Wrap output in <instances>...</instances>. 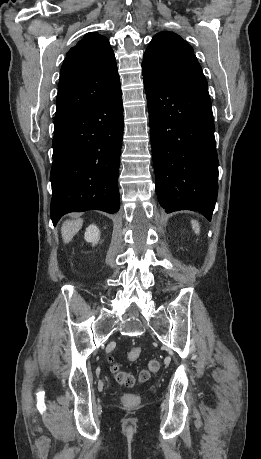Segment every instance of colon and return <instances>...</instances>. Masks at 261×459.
I'll return each mask as SVG.
<instances>
[{"mask_svg": "<svg viewBox=\"0 0 261 459\" xmlns=\"http://www.w3.org/2000/svg\"><path fill=\"white\" fill-rule=\"evenodd\" d=\"M141 355V349L139 347H134L129 350L127 353V358L130 361H135L137 360ZM160 368V363L156 359H152L148 362L146 369H143L142 371L139 372L137 376H135L132 372L130 371H125L120 369L119 365L113 361L109 360V369L114 376L116 382L125 387H132L136 383H143L146 382L150 375L153 373L158 372ZM137 398L133 394H125L123 396V402L125 404H134L136 403Z\"/></svg>", "mask_w": 261, "mask_h": 459, "instance_id": "5ec220e1", "label": "colon"}]
</instances>
